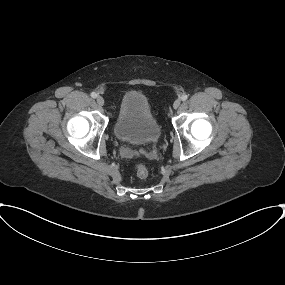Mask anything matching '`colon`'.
Here are the masks:
<instances>
[{
	"instance_id": "colon-1",
	"label": "colon",
	"mask_w": 285,
	"mask_h": 285,
	"mask_svg": "<svg viewBox=\"0 0 285 285\" xmlns=\"http://www.w3.org/2000/svg\"><path fill=\"white\" fill-rule=\"evenodd\" d=\"M136 174L139 178L144 179L149 175V170L145 165L139 164L136 166Z\"/></svg>"
}]
</instances>
